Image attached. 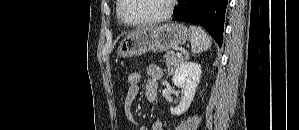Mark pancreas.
<instances>
[{
	"mask_svg": "<svg viewBox=\"0 0 299 130\" xmlns=\"http://www.w3.org/2000/svg\"><path fill=\"white\" fill-rule=\"evenodd\" d=\"M164 58L169 72H173L176 67L182 62L181 57H178L173 51H167L164 55Z\"/></svg>",
	"mask_w": 299,
	"mask_h": 130,
	"instance_id": "obj_1",
	"label": "pancreas"
}]
</instances>
